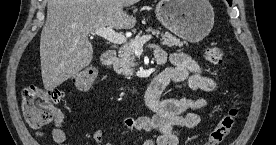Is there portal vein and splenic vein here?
Here are the masks:
<instances>
[{
  "mask_svg": "<svg viewBox=\"0 0 276 145\" xmlns=\"http://www.w3.org/2000/svg\"><path fill=\"white\" fill-rule=\"evenodd\" d=\"M91 33L107 39L109 42L114 44H125L127 42V39L124 35L115 32L110 26L97 28L94 32ZM150 39H152L151 35H145L138 40L131 41L130 47L134 51H141L143 49V45Z\"/></svg>",
  "mask_w": 276,
  "mask_h": 145,
  "instance_id": "obj_1",
  "label": "portal vein and splenic vein"
}]
</instances>
